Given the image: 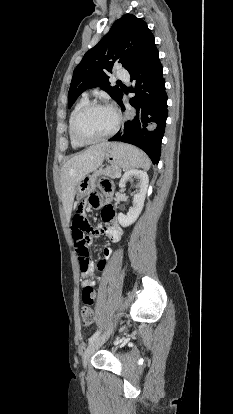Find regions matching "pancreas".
<instances>
[{
	"label": "pancreas",
	"mask_w": 233,
	"mask_h": 414,
	"mask_svg": "<svg viewBox=\"0 0 233 414\" xmlns=\"http://www.w3.org/2000/svg\"><path fill=\"white\" fill-rule=\"evenodd\" d=\"M98 174L115 179L120 177L119 174H121V169L118 167H107L106 169L100 170Z\"/></svg>",
	"instance_id": "cf45deb5"
}]
</instances>
